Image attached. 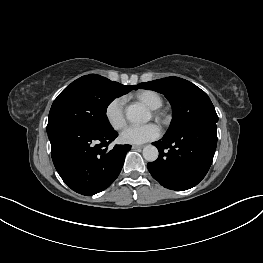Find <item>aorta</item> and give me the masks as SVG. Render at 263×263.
<instances>
[{"mask_svg": "<svg viewBox=\"0 0 263 263\" xmlns=\"http://www.w3.org/2000/svg\"><path fill=\"white\" fill-rule=\"evenodd\" d=\"M150 112L141 103H134L127 107L126 118L133 123H145L150 120ZM158 149L153 145H147L143 148V157L148 162L157 160Z\"/></svg>", "mask_w": 263, "mask_h": 263, "instance_id": "aorta-1", "label": "aorta"}]
</instances>
